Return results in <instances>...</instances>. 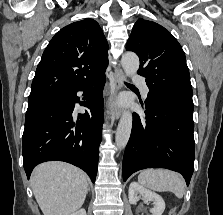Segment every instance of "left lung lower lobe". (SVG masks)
Listing matches in <instances>:
<instances>
[{"label": "left lung lower lobe", "instance_id": "1", "mask_svg": "<svg viewBox=\"0 0 223 215\" xmlns=\"http://www.w3.org/2000/svg\"><path fill=\"white\" fill-rule=\"evenodd\" d=\"M146 117L133 113L131 136L123 157V181L145 168L181 173L187 185L194 170L193 105L149 92Z\"/></svg>", "mask_w": 223, "mask_h": 215}]
</instances>
